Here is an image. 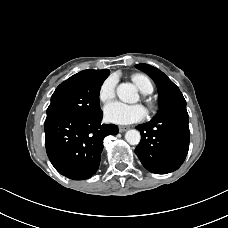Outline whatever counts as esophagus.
Instances as JSON below:
<instances>
[{"label":"esophagus","instance_id":"34e87169","mask_svg":"<svg viewBox=\"0 0 228 228\" xmlns=\"http://www.w3.org/2000/svg\"><path fill=\"white\" fill-rule=\"evenodd\" d=\"M129 129V127H126V126H119V132H125Z\"/></svg>","mask_w":228,"mask_h":228}]
</instances>
